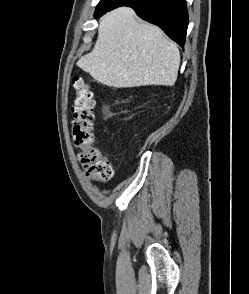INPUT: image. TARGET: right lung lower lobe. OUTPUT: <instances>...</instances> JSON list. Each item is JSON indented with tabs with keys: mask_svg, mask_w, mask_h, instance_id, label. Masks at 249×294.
I'll return each instance as SVG.
<instances>
[{
	"mask_svg": "<svg viewBox=\"0 0 249 294\" xmlns=\"http://www.w3.org/2000/svg\"><path fill=\"white\" fill-rule=\"evenodd\" d=\"M119 6L132 7L142 19L159 26L181 47L185 44L188 12L185 0H121L98 13V18Z\"/></svg>",
	"mask_w": 249,
	"mask_h": 294,
	"instance_id": "right-lung-lower-lobe-1",
	"label": "right lung lower lobe"
}]
</instances>
